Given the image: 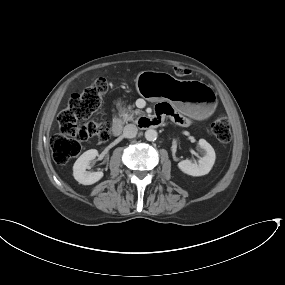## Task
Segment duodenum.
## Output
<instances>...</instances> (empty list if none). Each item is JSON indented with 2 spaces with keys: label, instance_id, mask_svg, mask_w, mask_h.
I'll list each match as a JSON object with an SVG mask.
<instances>
[{
  "label": "duodenum",
  "instance_id": "duodenum-1",
  "mask_svg": "<svg viewBox=\"0 0 285 285\" xmlns=\"http://www.w3.org/2000/svg\"><path fill=\"white\" fill-rule=\"evenodd\" d=\"M143 120L147 123L148 126H157L158 122L155 118H143ZM123 124L122 122L115 118L112 123V132L114 135H120L122 133Z\"/></svg>",
  "mask_w": 285,
  "mask_h": 285
}]
</instances>
